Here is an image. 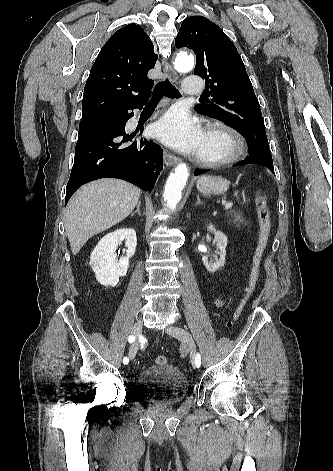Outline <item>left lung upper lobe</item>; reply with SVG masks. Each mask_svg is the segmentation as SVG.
I'll list each match as a JSON object with an SVG mask.
<instances>
[{
    "label": "left lung upper lobe",
    "mask_w": 333,
    "mask_h": 471,
    "mask_svg": "<svg viewBox=\"0 0 333 471\" xmlns=\"http://www.w3.org/2000/svg\"><path fill=\"white\" fill-rule=\"evenodd\" d=\"M175 45L194 51V74L206 80L207 96L212 97L194 109L239 130L250 143V154L270 152L260 105L244 63L220 27L203 16H190L181 24Z\"/></svg>",
    "instance_id": "obj_1"
}]
</instances>
